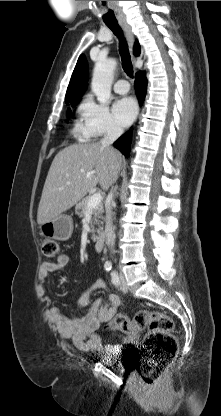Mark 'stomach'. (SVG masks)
Segmentation results:
<instances>
[{"instance_id": "obj_1", "label": "stomach", "mask_w": 221, "mask_h": 416, "mask_svg": "<svg viewBox=\"0 0 221 416\" xmlns=\"http://www.w3.org/2000/svg\"><path fill=\"white\" fill-rule=\"evenodd\" d=\"M43 237L58 241H67L73 233V221L68 215H59L39 226Z\"/></svg>"}]
</instances>
